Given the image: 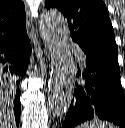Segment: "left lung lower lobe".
<instances>
[{
  "label": "left lung lower lobe",
  "instance_id": "0a47b994",
  "mask_svg": "<svg viewBox=\"0 0 125 128\" xmlns=\"http://www.w3.org/2000/svg\"><path fill=\"white\" fill-rule=\"evenodd\" d=\"M84 60L62 128H73L93 117L125 128V97L117 57L84 54Z\"/></svg>",
  "mask_w": 125,
  "mask_h": 128
}]
</instances>
